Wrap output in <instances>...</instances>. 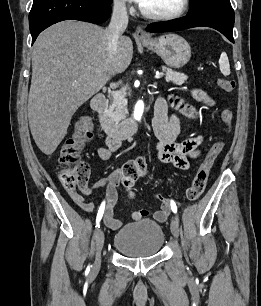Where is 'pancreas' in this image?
<instances>
[{"label": "pancreas", "mask_w": 261, "mask_h": 306, "mask_svg": "<svg viewBox=\"0 0 261 306\" xmlns=\"http://www.w3.org/2000/svg\"><path fill=\"white\" fill-rule=\"evenodd\" d=\"M166 72L165 79L167 82H172L176 85H182L188 76L183 73L172 71L171 69H164ZM126 89L122 88L118 91H114L109 96V116L114 121H120L125 118L127 114V100L125 99Z\"/></svg>", "instance_id": "1"}]
</instances>
